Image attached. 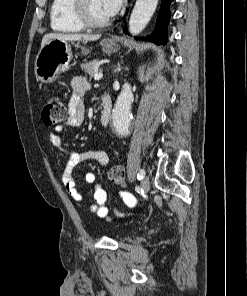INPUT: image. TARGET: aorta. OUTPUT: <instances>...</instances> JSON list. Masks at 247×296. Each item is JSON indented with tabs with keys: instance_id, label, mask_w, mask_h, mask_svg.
<instances>
[{
	"instance_id": "762f6f07",
	"label": "aorta",
	"mask_w": 247,
	"mask_h": 296,
	"mask_svg": "<svg viewBox=\"0 0 247 296\" xmlns=\"http://www.w3.org/2000/svg\"><path fill=\"white\" fill-rule=\"evenodd\" d=\"M158 0H137L129 20V31L132 35L139 34L150 21L156 10ZM133 93L129 83H125L117 98L112 112V122L118 134L125 135L131 122V103Z\"/></svg>"
}]
</instances>
